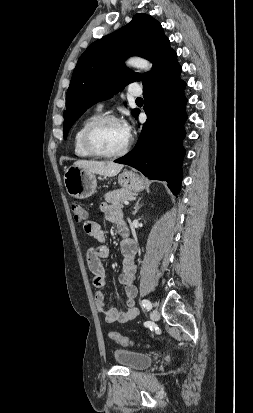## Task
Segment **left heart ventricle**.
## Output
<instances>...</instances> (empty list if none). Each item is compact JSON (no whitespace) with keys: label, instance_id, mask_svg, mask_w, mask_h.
<instances>
[{"label":"left heart ventricle","instance_id":"1","mask_svg":"<svg viewBox=\"0 0 253 413\" xmlns=\"http://www.w3.org/2000/svg\"><path fill=\"white\" fill-rule=\"evenodd\" d=\"M128 136L119 122H107L101 125L93 135V142L98 150L106 153L117 152L124 147Z\"/></svg>","mask_w":253,"mask_h":413}]
</instances>
